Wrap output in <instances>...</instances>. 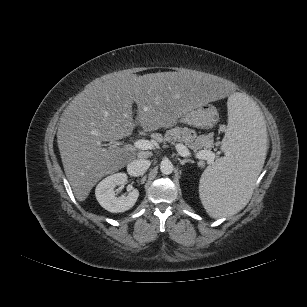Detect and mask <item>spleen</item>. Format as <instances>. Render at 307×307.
<instances>
[{
    "mask_svg": "<svg viewBox=\"0 0 307 307\" xmlns=\"http://www.w3.org/2000/svg\"><path fill=\"white\" fill-rule=\"evenodd\" d=\"M267 142L268 133L255 103L242 94L230 96L225 156L203 172L199 184L201 202L211 217L233 215L249 202L267 158Z\"/></svg>",
    "mask_w": 307,
    "mask_h": 307,
    "instance_id": "1",
    "label": "spleen"
}]
</instances>
